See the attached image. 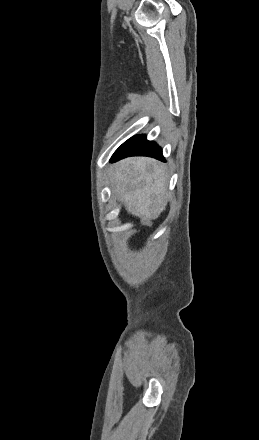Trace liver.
<instances>
[{
    "label": "liver",
    "mask_w": 259,
    "mask_h": 440,
    "mask_svg": "<svg viewBox=\"0 0 259 440\" xmlns=\"http://www.w3.org/2000/svg\"><path fill=\"white\" fill-rule=\"evenodd\" d=\"M114 190L128 213L142 222L157 219L167 205V178L163 167L154 159L135 157L115 165Z\"/></svg>",
    "instance_id": "liver-1"
}]
</instances>
